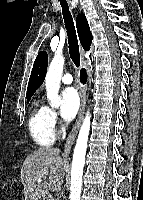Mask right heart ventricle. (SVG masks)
<instances>
[{
  "label": "right heart ventricle",
  "instance_id": "obj_1",
  "mask_svg": "<svg viewBox=\"0 0 143 200\" xmlns=\"http://www.w3.org/2000/svg\"><path fill=\"white\" fill-rule=\"evenodd\" d=\"M29 131L35 143L41 147H49L54 143L55 136L48 125L47 109L35 102L29 117Z\"/></svg>",
  "mask_w": 143,
  "mask_h": 200
}]
</instances>
